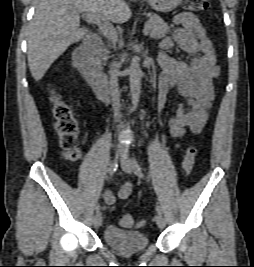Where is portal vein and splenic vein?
Listing matches in <instances>:
<instances>
[{
	"label": "portal vein and splenic vein",
	"instance_id": "18ae733b",
	"mask_svg": "<svg viewBox=\"0 0 254 267\" xmlns=\"http://www.w3.org/2000/svg\"><path fill=\"white\" fill-rule=\"evenodd\" d=\"M83 15L96 23L107 38L117 40V33L106 17L99 13H84ZM143 32L147 35V27L144 28Z\"/></svg>",
	"mask_w": 254,
	"mask_h": 267
}]
</instances>
